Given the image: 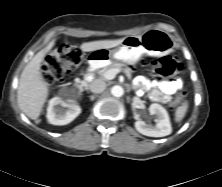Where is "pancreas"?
Wrapping results in <instances>:
<instances>
[{
	"instance_id": "pancreas-1",
	"label": "pancreas",
	"mask_w": 222,
	"mask_h": 187,
	"mask_svg": "<svg viewBox=\"0 0 222 187\" xmlns=\"http://www.w3.org/2000/svg\"><path fill=\"white\" fill-rule=\"evenodd\" d=\"M110 69H118V70L126 72V73L131 71V69L128 66H126L125 64L113 62V63H110L107 66L103 67L102 69H100L98 71V74L100 76H104L105 72Z\"/></svg>"
}]
</instances>
